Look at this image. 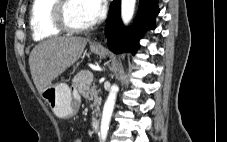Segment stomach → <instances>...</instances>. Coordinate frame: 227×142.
Listing matches in <instances>:
<instances>
[{
    "label": "stomach",
    "mask_w": 227,
    "mask_h": 142,
    "mask_svg": "<svg viewBox=\"0 0 227 142\" xmlns=\"http://www.w3.org/2000/svg\"><path fill=\"white\" fill-rule=\"evenodd\" d=\"M91 50L100 55L105 56L106 50L91 45ZM42 98L50 106L52 111L59 118H70L76 114L78 110V102L73 99L71 89L65 83L49 84L41 93Z\"/></svg>",
    "instance_id": "obj_1"
}]
</instances>
